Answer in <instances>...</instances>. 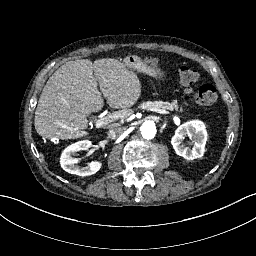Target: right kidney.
I'll return each mask as SVG.
<instances>
[{
  "label": "right kidney",
  "instance_id": "ca27d5eb",
  "mask_svg": "<svg viewBox=\"0 0 256 256\" xmlns=\"http://www.w3.org/2000/svg\"><path fill=\"white\" fill-rule=\"evenodd\" d=\"M92 145L90 140H81L69 145L60 157V165L66 172L79 176L96 174L103 166L102 161H94L86 166L79 167V159L73 158V154L79 150H88Z\"/></svg>",
  "mask_w": 256,
  "mask_h": 256
}]
</instances>
